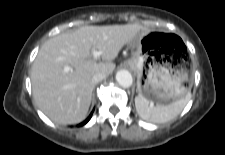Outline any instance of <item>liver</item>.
Here are the masks:
<instances>
[{
	"instance_id": "obj_1",
	"label": "liver",
	"mask_w": 225,
	"mask_h": 155,
	"mask_svg": "<svg viewBox=\"0 0 225 155\" xmlns=\"http://www.w3.org/2000/svg\"><path fill=\"white\" fill-rule=\"evenodd\" d=\"M148 31L138 24L83 26L47 40L30 75L38 108L59 124L81 122L91 104L92 76L111 74L120 50ZM93 51H101L102 60L98 62Z\"/></svg>"
}]
</instances>
